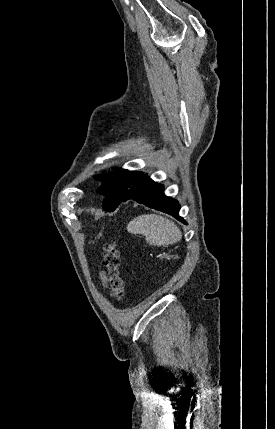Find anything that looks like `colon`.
I'll list each match as a JSON object with an SVG mask.
<instances>
[{
	"mask_svg": "<svg viewBox=\"0 0 275 429\" xmlns=\"http://www.w3.org/2000/svg\"><path fill=\"white\" fill-rule=\"evenodd\" d=\"M103 266L107 270L106 285L111 295L121 301L125 294L124 281L120 276V252L115 242L106 243L103 248Z\"/></svg>",
	"mask_w": 275,
	"mask_h": 429,
	"instance_id": "obj_1",
	"label": "colon"
}]
</instances>
